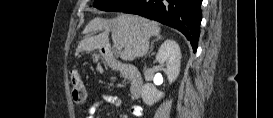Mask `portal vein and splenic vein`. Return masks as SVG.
I'll use <instances>...</instances> for the list:
<instances>
[{
  "instance_id": "18ae733b",
  "label": "portal vein and splenic vein",
  "mask_w": 273,
  "mask_h": 118,
  "mask_svg": "<svg viewBox=\"0 0 273 118\" xmlns=\"http://www.w3.org/2000/svg\"><path fill=\"white\" fill-rule=\"evenodd\" d=\"M115 45H116V48H117L119 51L122 50V46H121L120 44H118V43L115 42Z\"/></svg>"
}]
</instances>
